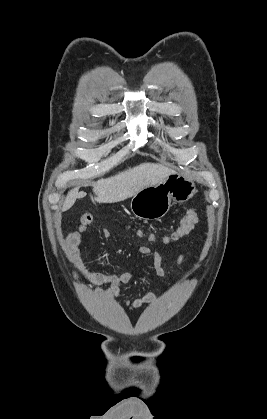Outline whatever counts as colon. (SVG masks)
Segmentation results:
<instances>
[{
	"instance_id": "obj_1",
	"label": "colon",
	"mask_w": 267,
	"mask_h": 419,
	"mask_svg": "<svg viewBox=\"0 0 267 419\" xmlns=\"http://www.w3.org/2000/svg\"><path fill=\"white\" fill-rule=\"evenodd\" d=\"M197 221V212L195 210H189L180 220L178 227L171 234L165 236H157L154 233H150L141 229H134L131 226L127 227L128 229L132 230L138 238L149 243L161 242L163 244H170L185 237L193 229Z\"/></svg>"
}]
</instances>
